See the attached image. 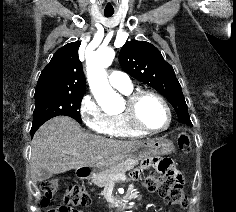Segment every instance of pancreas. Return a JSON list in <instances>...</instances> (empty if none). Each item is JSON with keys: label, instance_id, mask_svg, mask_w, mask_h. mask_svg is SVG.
<instances>
[{"label": "pancreas", "instance_id": "obj_1", "mask_svg": "<svg viewBox=\"0 0 236 212\" xmlns=\"http://www.w3.org/2000/svg\"><path fill=\"white\" fill-rule=\"evenodd\" d=\"M138 161L127 159L94 176L92 182L98 187H107L110 182L125 181V173L134 168ZM124 176V179H119Z\"/></svg>", "mask_w": 236, "mask_h": 212}]
</instances>
